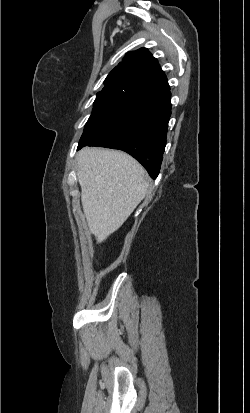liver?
I'll list each match as a JSON object with an SVG mask.
<instances>
[{
    "label": "liver",
    "mask_w": 250,
    "mask_h": 413,
    "mask_svg": "<svg viewBox=\"0 0 250 413\" xmlns=\"http://www.w3.org/2000/svg\"><path fill=\"white\" fill-rule=\"evenodd\" d=\"M77 177L84 215L97 243L122 226L149 187L144 168L118 150L83 148Z\"/></svg>",
    "instance_id": "obj_1"
}]
</instances>
